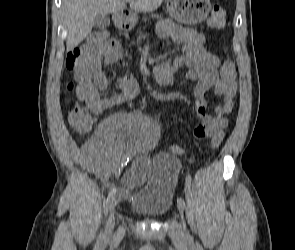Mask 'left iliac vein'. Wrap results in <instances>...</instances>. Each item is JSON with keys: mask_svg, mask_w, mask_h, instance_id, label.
I'll return each mask as SVG.
<instances>
[{"mask_svg": "<svg viewBox=\"0 0 295 250\" xmlns=\"http://www.w3.org/2000/svg\"><path fill=\"white\" fill-rule=\"evenodd\" d=\"M179 211L181 213V215H183V207L179 205ZM183 228H184V231H185V236L186 238H189V233L187 232L186 230V225H185V222H183Z\"/></svg>", "mask_w": 295, "mask_h": 250, "instance_id": "left-iliac-vein-1", "label": "left iliac vein"}]
</instances>
